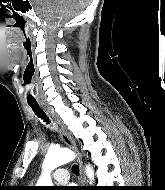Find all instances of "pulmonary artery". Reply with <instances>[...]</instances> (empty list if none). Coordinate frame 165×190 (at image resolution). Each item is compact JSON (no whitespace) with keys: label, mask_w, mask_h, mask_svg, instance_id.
Instances as JSON below:
<instances>
[{"label":"pulmonary artery","mask_w":165,"mask_h":190,"mask_svg":"<svg viewBox=\"0 0 165 190\" xmlns=\"http://www.w3.org/2000/svg\"><path fill=\"white\" fill-rule=\"evenodd\" d=\"M69 178V172L64 168H59L53 173V179L59 184L67 183Z\"/></svg>","instance_id":"pulmonary-artery-1"}]
</instances>
